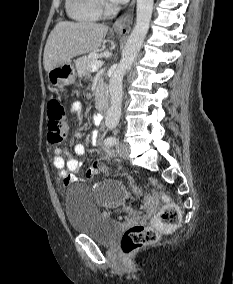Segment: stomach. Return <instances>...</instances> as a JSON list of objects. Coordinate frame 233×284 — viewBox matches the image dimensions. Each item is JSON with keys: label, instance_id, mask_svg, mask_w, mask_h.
Listing matches in <instances>:
<instances>
[{"label": "stomach", "instance_id": "0dacf381", "mask_svg": "<svg viewBox=\"0 0 233 284\" xmlns=\"http://www.w3.org/2000/svg\"><path fill=\"white\" fill-rule=\"evenodd\" d=\"M76 70L70 62L59 65L48 72V82L52 87L64 91L65 87L74 83Z\"/></svg>", "mask_w": 233, "mask_h": 284}]
</instances>
